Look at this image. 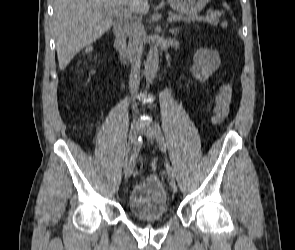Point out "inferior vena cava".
Wrapping results in <instances>:
<instances>
[{
    "instance_id": "1",
    "label": "inferior vena cava",
    "mask_w": 295,
    "mask_h": 250,
    "mask_svg": "<svg viewBox=\"0 0 295 250\" xmlns=\"http://www.w3.org/2000/svg\"><path fill=\"white\" fill-rule=\"evenodd\" d=\"M144 27L139 19L129 25L128 56L131 63L129 88L132 95L137 94L140 84V60L143 52ZM135 109V105H133Z\"/></svg>"
}]
</instances>
